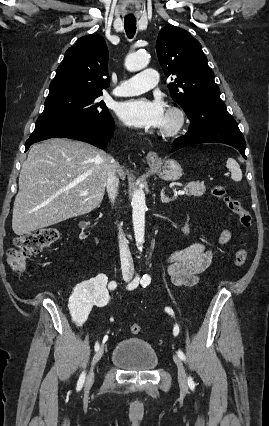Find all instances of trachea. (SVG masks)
Returning a JSON list of instances; mask_svg holds the SVG:
<instances>
[{
    "label": "trachea",
    "instance_id": "obj_1",
    "mask_svg": "<svg viewBox=\"0 0 269 426\" xmlns=\"http://www.w3.org/2000/svg\"><path fill=\"white\" fill-rule=\"evenodd\" d=\"M124 27L128 38L132 39L136 33V19L134 17H125Z\"/></svg>",
    "mask_w": 269,
    "mask_h": 426
}]
</instances>
